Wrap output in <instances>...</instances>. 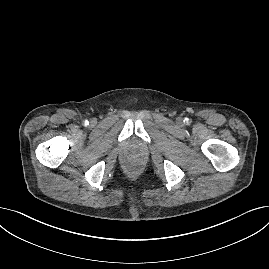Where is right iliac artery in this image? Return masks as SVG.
I'll list each match as a JSON object with an SVG mask.
<instances>
[{
	"instance_id": "1",
	"label": "right iliac artery",
	"mask_w": 269,
	"mask_h": 269,
	"mask_svg": "<svg viewBox=\"0 0 269 269\" xmlns=\"http://www.w3.org/2000/svg\"><path fill=\"white\" fill-rule=\"evenodd\" d=\"M84 124H85V125H88V124H89V122H88L87 120H85V121H84Z\"/></svg>"
}]
</instances>
